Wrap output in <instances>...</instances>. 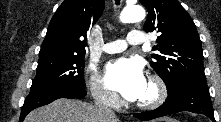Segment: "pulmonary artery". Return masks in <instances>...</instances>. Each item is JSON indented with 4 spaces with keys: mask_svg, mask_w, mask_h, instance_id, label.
Masks as SVG:
<instances>
[{
    "mask_svg": "<svg viewBox=\"0 0 221 122\" xmlns=\"http://www.w3.org/2000/svg\"><path fill=\"white\" fill-rule=\"evenodd\" d=\"M144 42V37L140 31L133 30L128 33L125 40H115L106 43L103 46V51L109 54L119 53L124 51L128 45H141Z\"/></svg>",
    "mask_w": 221,
    "mask_h": 122,
    "instance_id": "e3ab8cb5",
    "label": "pulmonary artery"
}]
</instances>
